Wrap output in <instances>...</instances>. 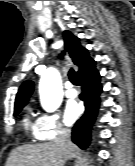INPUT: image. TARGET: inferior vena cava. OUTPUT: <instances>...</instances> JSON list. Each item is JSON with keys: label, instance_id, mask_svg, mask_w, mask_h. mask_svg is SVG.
I'll return each mask as SVG.
<instances>
[{"label": "inferior vena cava", "instance_id": "obj_1", "mask_svg": "<svg viewBox=\"0 0 135 166\" xmlns=\"http://www.w3.org/2000/svg\"><path fill=\"white\" fill-rule=\"evenodd\" d=\"M59 142L61 144L62 149H67L68 144L70 142V134L68 132H62L58 137Z\"/></svg>", "mask_w": 135, "mask_h": 166}]
</instances>
